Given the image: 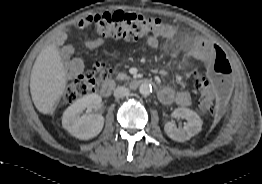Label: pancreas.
<instances>
[{
	"label": "pancreas",
	"instance_id": "cf45deb5",
	"mask_svg": "<svg viewBox=\"0 0 262 184\" xmlns=\"http://www.w3.org/2000/svg\"><path fill=\"white\" fill-rule=\"evenodd\" d=\"M117 79H119V80H128V79H130V77L127 74H125V73H119L117 75Z\"/></svg>",
	"mask_w": 262,
	"mask_h": 184
}]
</instances>
